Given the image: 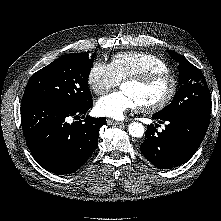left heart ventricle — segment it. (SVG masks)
Here are the masks:
<instances>
[{
    "instance_id": "b2bd125f",
    "label": "left heart ventricle",
    "mask_w": 221,
    "mask_h": 221,
    "mask_svg": "<svg viewBox=\"0 0 221 221\" xmlns=\"http://www.w3.org/2000/svg\"><path fill=\"white\" fill-rule=\"evenodd\" d=\"M122 90L129 93L135 99L138 106L153 105L165 97L169 90V82L163 79L146 86L124 83Z\"/></svg>"
}]
</instances>
